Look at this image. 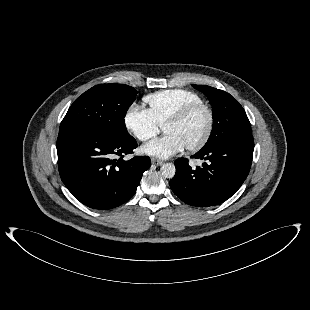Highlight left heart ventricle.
<instances>
[{"mask_svg":"<svg viewBox=\"0 0 310 310\" xmlns=\"http://www.w3.org/2000/svg\"><path fill=\"white\" fill-rule=\"evenodd\" d=\"M207 122L208 118L206 112L204 110H199L184 122L164 126V132L179 137L186 147L201 139L205 133Z\"/></svg>","mask_w":310,"mask_h":310,"instance_id":"b2bd125f","label":"left heart ventricle"}]
</instances>
